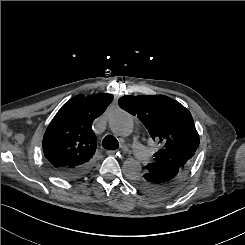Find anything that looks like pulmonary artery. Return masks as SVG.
I'll list each match as a JSON object with an SVG mask.
<instances>
[{"label":"pulmonary artery","instance_id":"pulmonary-artery-1","mask_svg":"<svg viewBox=\"0 0 245 245\" xmlns=\"http://www.w3.org/2000/svg\"><path fill=\"white\" fill-rule=\"evenodd\" d=\"M133 154L135 159L142 164L149 160L148 149L142 146L138 141H135L133 144Z\"/></svg>","mask_w":245,"mask_h":245}]
</instances>
